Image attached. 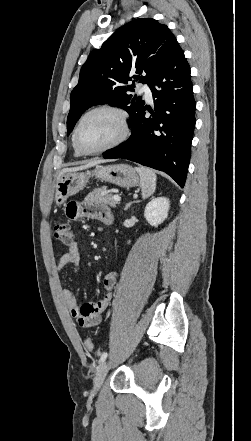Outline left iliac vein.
<instances>
[{
	"instance_id": "1",
	"label": "left iliac vein",
	"mask_w": 251,
	"mask_h": 441,
	"mask_svg": "<svg viewBox=\"0 0 251 441\" xmlns=\"http://www.w3.org/2000/svg\"><path fill=\"white\" fill-rule=\"evenodd\" d=\"M108 370H109L108 362H103L98 368L96 376L94 378V385H93L94 392H97L101 388Z\"/></svg>"
}]
</instances>
